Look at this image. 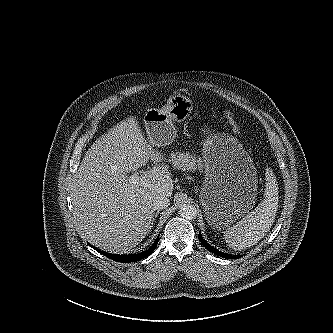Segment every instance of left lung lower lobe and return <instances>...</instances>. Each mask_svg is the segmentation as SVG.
<instances>
[{
  "instance_id": "0a47b994",
  "label": "left lung lower lobe",
  "mask_w": 333,
  "mask_h": 333,
  "mask_svg": "<svg viewBox=\"0 0 333 333\" xmlns=\"http://www.w3.org/2000/svg\"><path fill=\"white\" fill-rule=\"evenodd\" d=\"M198 237H199L200 242L202 243V245L208 251H210V252H212V253L220 256V257L228 258V259H237V258L240 257L238 255L227 254V253H224V252H221V251L217 250L216 248H214L213 246H211L210 244L207 243V241L201 236V233H199Z\"/></svg>"
}]
</instances>
